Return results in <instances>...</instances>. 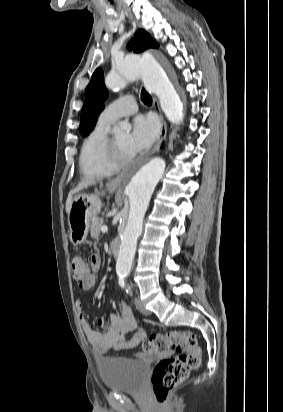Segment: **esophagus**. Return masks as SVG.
Listing matches in <instances>:
<instances>
[{"label": "esophagus", "instance_id": "esophagus-1", "mask_svg": "<svg viewBox=\"0 0 283 412\" xmlns=\"http://www.w3.org/2000/svg\"><path fill=\"white\" fill-rule=\"evenodd\" d=\"M153 105H154L156 111L159 114L160 121H161V128H160L157 143H156L155 147L153 148V150L151 151L150 154H154L159 150V148H160L163 140L166 138V134H167V125H166L165 120L163 119L162 113H161L160 108H159V103H158V101L155 97H153ZM123 176H124L123 173L119 174L116 178H114L110 182V185H113V186L120 185L121 182H122Z\"/></svg>", "mask_w": 283, "mask_h": 412}]
</instances>
